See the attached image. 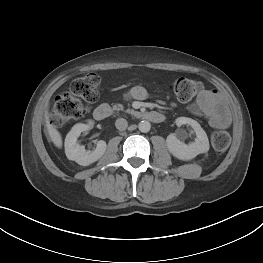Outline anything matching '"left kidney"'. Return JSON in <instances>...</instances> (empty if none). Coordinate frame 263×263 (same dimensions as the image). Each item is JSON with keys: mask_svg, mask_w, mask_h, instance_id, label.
I'll list each match as a JSON object with an SVG mask.
<instances>
[{"mask_svg": "<svg viewBox=\"0 0 263 263\" xmlns=\"http://www.w3.org/2000/svg\"><path fill=\"white\" fill-rule=\"evenodd\" d=\"M176 125L181 126L183 124L190 125L196 133L194 142L188 145L180 141L176 134L172 133L167 136L166 142L170 153L180 160H191L198 154L205 153L209 150V140L206 132L200 126V124L187 117H179L176 119Z\"/></svg>", "mask_w": 263, "mask_h": 263, "instance_id": "5707ae66", "label": "left kidney"}]
</instances>
